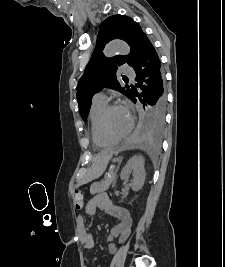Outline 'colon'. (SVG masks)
Segmentation results:
<instances>
[{"instance_id": "5ec220e1", "label": "colon", "mask_w": 225, "mask_h": 267, "mask_svg": "<svg viewBox=\"0 0 225 267\" xmlns=\"http://www.w3.org/2000/svg\"><path fill=\"white\" fill-rule=\"evenodd\" d=\"M83 204H84L83 194L80 190H77L74 198L75 209L78 211L82 210Z\"/></svg>"}]
</instances>
